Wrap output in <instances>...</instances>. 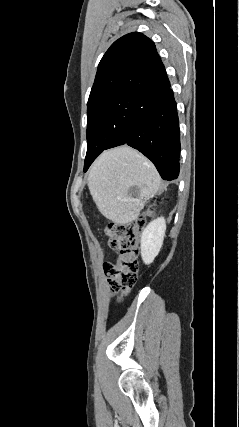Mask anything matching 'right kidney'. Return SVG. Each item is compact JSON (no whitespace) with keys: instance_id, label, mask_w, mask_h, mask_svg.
I'll return each instance as SVG.
<instances>
[{"instance_id":"obj_1","label":"right kidney","mask_w":239,"mask_h":427,"mask_svg":"<svg viewBox=\"0 0 239 427\" xmlns=\"http://www.w3.org/2000/svg\"><path fill=\"white\" fill-rule=\"evenodd\" d=\"M166 231V221L163 217L157 218L148 224L141 235V256L145 264H150L158 255Z\"/></svg>"}]
</instances>
